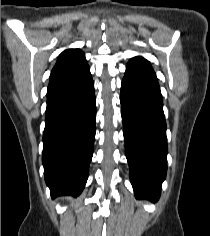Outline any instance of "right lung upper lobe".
<instances>
[{
    "label": "right lung upper lobe",
    "instance_id": "obj_1",
    "mask_svg": "<svg viewBox=\"0 0 210 236\" xmlns=\"http://www.w3.org/2000/svg\"><path fill=\"white\" fill-rule=\"evenodd\" d=\"M87 61L85 59L84 53L79 49H68L62 52L57 62L52 69L50 78L61 73L70 71L78 66L85 64Z\"/></svg>",
    "mask_w": 210,
    "mask_h": 236
}]
</instances>
